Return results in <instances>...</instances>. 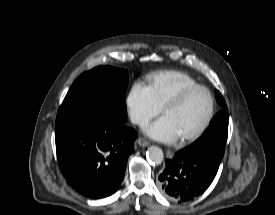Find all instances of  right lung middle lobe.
Segmentation results:
<instances>
[{
  "mask_svg": "<svg viewBox=\"0 0 275 215\" xmlns=\"http://www.w3.org/2000/svg\"><path fill=\"white\" fill-rule=\"evenodd\" d=\"M128 72L99 66L78 77L60 106L56 124L84 120L99 113L127 120L125 92Z\"/></svg>",
  "mask_w": 275,
  "mask_h": 215,
  "instance_id": "dd1d6c3e",
  "label": "right lung middle lobe"
}]
</instances>
